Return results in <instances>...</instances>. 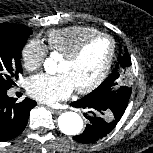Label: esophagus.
I'll return each instance as SVG.
<instances>
[{
    "instance_id": "1",
    "label": "esophagus",
    "mask_w": 153,
    "mask_h": 153,
    "mask_svg": "<svg viewBox=\"0 0 153 153\" xmlns=\"http://www.w3.org/2000/svg\"><path fill=\"white\" fill-rule=\"evenodd\" d=\"M51 111L54 114H60V113H62L63 110H61V109H51Z\"/></svg>"
}]
</instances>
